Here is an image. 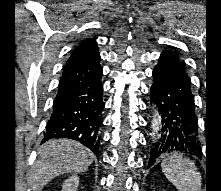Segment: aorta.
<instances>
[{
  "instance_id": "aorta-1",
  "label": "aorta",
  "mask_w": 221,
  "mask_h": 191,
  "mask_svg": "<svg viewBox=\"0 0 221 191\" xmlns=\"http://www.w3.org/2000/svg\"><path fill=\"white\" fill-rule=\"evenodd\" d=\"M159 119L157 118V114H154V119L152 123L153 135H156L159 131Z\"/></svg>"
}]
</instances>
